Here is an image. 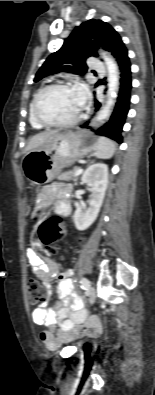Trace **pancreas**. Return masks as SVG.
<instances>
[{"label":"pancreas","instance_id":"1","mask_svg":"<svg viewBox=\"0 0 155 395\" xmlns=\"http://www.w3.org/2000/svg\"><path fill=\"white\" fill-rule=\"evenodd\" d=\"M78 169H79L78 167H74L72 170H69L67 172L60 174L57 179L58 180H65V181H69V180L73 179L74 181H77L78 176H74V174Z\"/></svg>","mask_w":155,"mask_h":395}]
</instances>
